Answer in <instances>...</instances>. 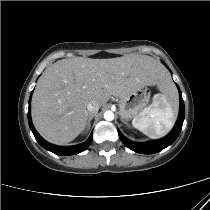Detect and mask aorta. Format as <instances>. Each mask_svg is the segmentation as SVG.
Returning <instances> with one entry per match:
<instances>
[{"instance_id": "obj_1", "label": "aorta", "mask_w": 210, "mask_h": 210, "mask_svg": "<svg viewBox=\"0 0 210 210\" xmlns=\"http://www.w3.org/2000/svg\"><path fill=\"white\" fill-rule=\"evenodd\" d=\"M104 119L107 121H112L114 119V113L112 111H106L104 113Z\"/></svg>"}]
</instances>
